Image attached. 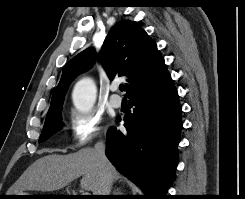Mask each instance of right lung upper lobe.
I'll use <instances>...</instances> for the list:
<instances>
[{"label":"right lung upper lobe","mask_w":245,"mask_h":199,"mask_svg":"<svg viewBox=\"0 0 245 199\" xmlns=\"http://www.w3.org/2000/svg\"><path fill=\"white\" fill-rule=\"evenodd\" d=\"M95 57V50L88 48L65 65L47 116L62 108L68 86L78 74L91 67ZM100 59L110 80L126 78L128 98L152 91L171 79L156 43L137 22L122 20L115 24L104 41Z\"/></svg>","instance_id":"1"}]
</instances>
